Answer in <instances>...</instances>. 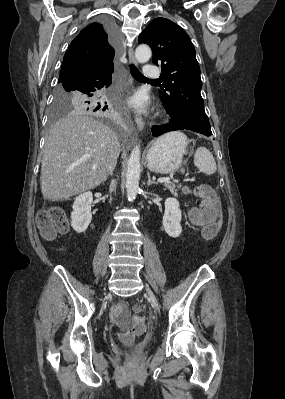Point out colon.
<instances>
[{
  "instance_id": "colon-1",
  "label": "colon",
  "mask_w": 285,
  "mask_h": 399,
  "mask_svg": "<svg viewBox=\"0 0 285 399\" xmlns=\"http://www.w3.org/2000/svg\"><path fill=\"white\" fill-rule=\"evenodd\" d=\"M184 193L199 198L201 207L213 214L212 222L202 229V236L204 239L214 238L222 225V219L218 206L210 201L213 198L211 189L206 185H198L192 188H185ZM36 226L42 235L52 238L67 230L68 219L62 209L54 207L42 210L37 214ZM146 323V319L138 315L135 325L122 336V339L130 341L139 336L145 330ZM127 359L128 361H133L131 356H128Z\"/></svg>"
}]
</instances>
